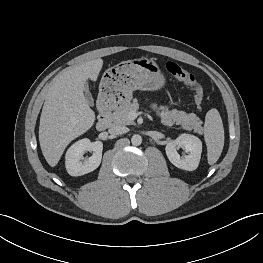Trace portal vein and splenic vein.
Wrapping results in <instances>:
<instances>
[{"label":"portal vein and splenic vein","instance_id":"1","mask_svg":"<svg viewBox=\"0 0 263 263\" xmlns=\"http://www.w3.org/2000/svg\"><path fill=\"white\" fill-rule=\"evenodd\" d=\"M130 115H131L132 117H135V116H136V111H131V112H130Z\"/></svg>","mask_w":263,"mask_h":263}]
</instances>
